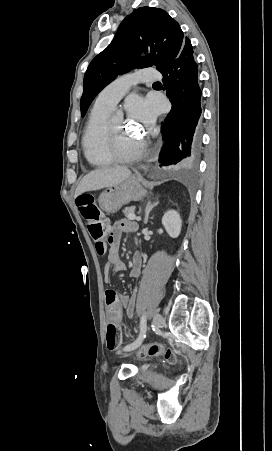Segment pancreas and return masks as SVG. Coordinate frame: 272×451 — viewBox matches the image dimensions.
I'll use <instances>...</instances> for the list:
<instances>
[{
  "label": "pancreas",
  "mask_w": 272,
  "mask_h": 451,
  "mask_svg": "<svg viewBox=\"0 0 272 451\" xmlns=\"http://www.w3.org/2000/svg\"><path fill=\"white\" fill-rule=\"evenodd\" d=\"M134 210V206H130V208H125V210H123V214L126 218H129V214H134Z\"/></svg>",
  "instance_id": "1"
}]
</instances>
